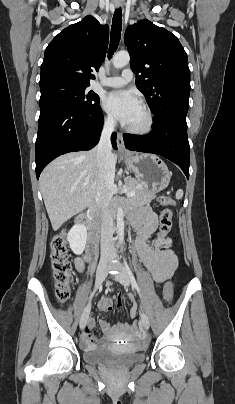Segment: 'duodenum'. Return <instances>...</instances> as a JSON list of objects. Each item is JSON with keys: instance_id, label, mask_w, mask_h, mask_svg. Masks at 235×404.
Returning a JSON list of instances; mask_svg holds the SVG:
<instances>
[{"instance_id": "410a0bca", "label": "duodenum", "mask_w": 235, "mask_h": 404, "mask_svg": "<svg viewBox=\"0 0 235 404\" xmlns=\"http://www.w3.org/2000/svg\"><path fill=\"white\" fill-rule=\"evenodd\" d=\"M93 211H91L87 216L77 220L79 226L86 225L89 228L88 236L86 239V252L91 257L96 251L98 245V232L96 227V221L93 220L90 223V218L92 217Z\"/></svg>"}]
</instances>
